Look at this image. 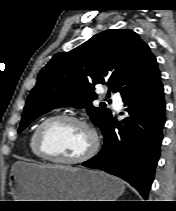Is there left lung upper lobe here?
Here are the masks:
<instances>
[{"label":"left lung upper lobe","instance_id":"5c2ea615","mask_svg":"<svg viewBox=\"0 0 176 211\" xmlns=\"http://www.w3.org/2000/svg\"><path fill=\"white\" fill-rule=\"evenodd\" d=\"M156 58L132 30H106L71 50L56 54L40 71L30 92L18 132L34 119L61 105L87 108L104 133L112 113L92 105L95 84H107L122 98L160 76Z\"/></svg>","mask_w":176,"mask_h":211}]
</instances>
